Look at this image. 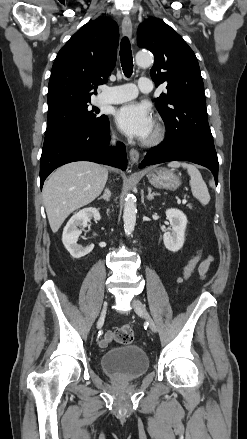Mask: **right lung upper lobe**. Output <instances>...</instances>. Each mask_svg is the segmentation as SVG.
Listing matches in <instances>:
<instances>
[{
  "label": "right lung upper lobe",
  "mask_w": 247,
  "mask_h": 439,
  "mask_svg": "<svg viewBox=\"0 0 247 439\" xmlns=\"http://www.w3.org/2000/svg\"><path fill=\"white\" fill-rule=\"evenodd\" d=\"M117 24L96 19L82 26L60 49L52 66L48 110L69 101L91 100L97 85L107 82L115 67Z\"/></svg>",
  "instance_id": "obj_1"
}]
</instances>
